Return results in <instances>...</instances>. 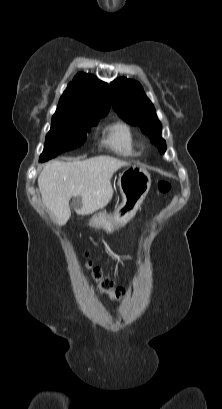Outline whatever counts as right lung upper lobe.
<instances>
[{"label":"right lung upper lobe","instance_id":"right-lung-upper-lobe-1","mask_svg":"<svg viewBox=\"0 0 222 409\" xmlns=\"http://www.w3.org/2000/svg\"><path fill=\"white\" fill-rule=\"evenodd\" d=\"M110 106L111 97L107 83L90 74L79 73L61 96L56 112L77 109L109 111Z\"/></svg>","mask_w":222,"mask_h":409}]
</instances>
